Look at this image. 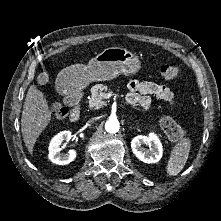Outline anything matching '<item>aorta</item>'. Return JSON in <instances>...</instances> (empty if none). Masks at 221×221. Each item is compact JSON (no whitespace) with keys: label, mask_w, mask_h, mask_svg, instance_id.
Segmentation results:
<instances>
[{"label":"aorta","mask_w":221,"mask_h":221,"mask_svg":"<svg viewBox=\"0 0 221 221\" xmlns=\"http://www.w3.org/2000/svg\"><path fill=\"white\" fill-rule=\"evenodd\" d=\"M119 128V121L116 118L111 117L105 123V130L108 133H116L119 131Z\"/></svg>","instance_id":"762f6f07"}]
</instances>
